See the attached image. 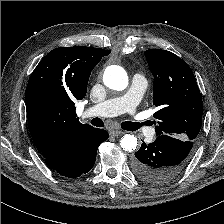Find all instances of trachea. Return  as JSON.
I'll return each mask as SVG.
<instances>
[{"label": "trachea", "mask_w": 224, "mask_h": 224, "mask_svg": "<svg viewBox=\"0 0 224 224\" xmlns=\"http://www.w3.org/2000/svg\"><path fill=\"white\" fill-rule=\"evenodd\" d=\"M91 123L96 126V127H103L104 123L100 118H94ZM121 127L124 130L127 131H136L137 129H139V124L133 123V122H123L121 123Z\"/></svg>", "instance_id": "trachea-1"}]
</instances>
